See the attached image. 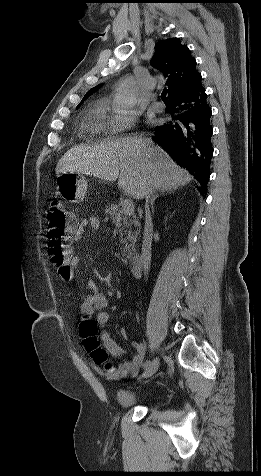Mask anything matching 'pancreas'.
<instances>
[{"instance_id": "obj_1", "label": "pancreas", "mask_w": 261, "mask_h": 476, "mask_svg": "<svg viewBox=\"0 0 261 476\" xmlns=\"http://www.w3.org/2000/svg\"><path fill=\"white\" fill-rule=\"evenodd\" d=\"M105 213L119 227L122 256L129 258L132 252L135 251V242L140 233L138 219L133 213L130 215L124 214L119 205L116 204L106 206ZM132 225L135 226V230H132Z\"/></svg>"}]
</instances>
